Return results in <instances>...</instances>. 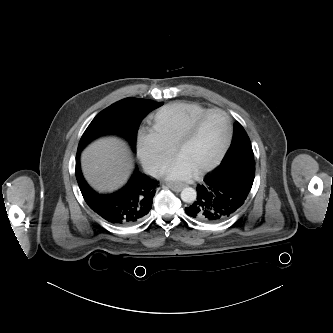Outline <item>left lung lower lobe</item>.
<instances>
[{
    "instance_id": "left-lung-lower-lobe-1",
    "label": "left lung lower lobe",
    "mask_w": 333,
    "mask_h": 333,
    "mask_svg": "<svg viewBox=\"0 0 333 333\" xmlns=\"http://www.w3.org/2000/svg\"><path fill=\"white\" fill-rule=\"evenodd\" d=\"M254 177V160H237L219 166L197 185V200L185 212L200 222L228 218L244 204Z\"/></svg>"
}]
</instances>
